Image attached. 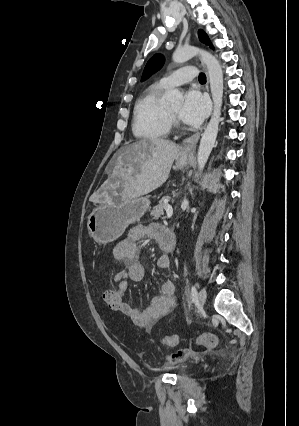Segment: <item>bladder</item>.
<instances>
[{
  "label": "bladder",
  "mask_w": 299,
  "mask_h": 426,
  "mask_svg": "<svg viewBox=\"0 0 299 426\" xmlns=\"http://www.w3.org/2000/svg\"><path fill=\"white\" fill-rule=\"evenodd\" d=\"M177 372H178L179 374H184V373H186V372H187V370H186L185 368H181V369L177 370Z\"/></svg>",
  "instance_id": "31cf9c89"
}]
</instances>
